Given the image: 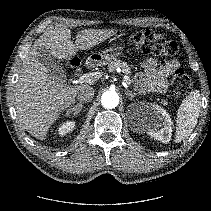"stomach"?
I'll list each match as a JSON object with an SVG mask.
<instances>
[{"mask_svg":"<svg viewBox=\"0 0 211 211\" xmlns=\"http://www.w3.org/2000/svg\"><path fill=\"white\" fill-rule=\"evenodd\" d=\"M124 47L123 44L114 45L99 54L91 55L88 60L97 65L108 64L122 55Z\"/></svg>","mask_w":211,"mask_h":211,"instance_id":"0dacf381","label":"stomach"}]
</instances>
